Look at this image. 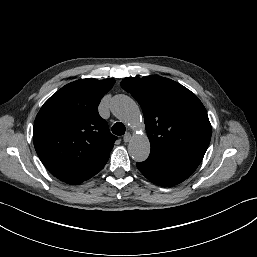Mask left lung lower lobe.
Masks as SVG:
<instances>
[{
    "label": "left lung lower lobe",
    "mask_w": 257,
    "mask_h": 257,
    "mask_svg": "<svg viewBox=\"0 0 257 257\" xmlns=\"http://www.w3.org/2000/svg\"><path fill=\"white\" fill-rule=\"evenodd\" d=\"M200 162L197 158L162 159L149 156L146 161L138 162L136 165L151 182L169 187L187 179Z\"/></svg>",
    "instance_id": "0a47b994"
}]
</instances>
